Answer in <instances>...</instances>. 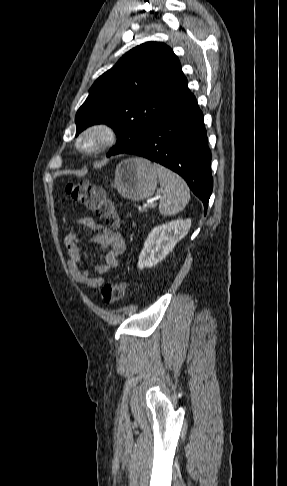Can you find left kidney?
<instances>
[{"mask_svg": "<svg viewBox=\"0 0 287 486\" xmlns=\"http://www.w3.org/2000/svg\"><path fill=\"white\" fill-rule=\"evenodd\" d=\"M190 227L191 219H177L153 228L139 255L138 268H151L161 262L187 235Z\"/></svg>", "mask_w": 287, "mask_h": 486, "instance_id": "5707ae66", "label": "left kidney"}]
</instances>
